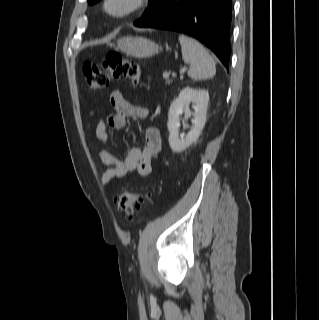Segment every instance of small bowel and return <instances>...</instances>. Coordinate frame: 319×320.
Instances as JSON below:
<instances>
[{
    "label": "small bowel",
    "instance_id": "small-bowel-1",
    "mask_svg": "<svg viewBox=\"0 0 319 320\" xmlns=\"http://www.w3.org/2000/svg\"><path fill=\"white\" fill-rule=\"evenodd\" d=\"M110 104L114 113L109 114L105 121L98 122L95 127V134L102 142H109L111 130L124 128L128 118L146 119L151 114L149 107L129 103L119 90L111 93ZM144 140L143 148L132 147L123 159L108 150L98 151V160L106 166V170L100 176L102 185L105 186L114 179L123 178L134 170L141 176H148L151 173L152 162L161 149L162 140L159 130L156 127L147 128Z\"/></svg>",
    "mask_w": 319,
    "mask_h": 320
}]
</instances>
